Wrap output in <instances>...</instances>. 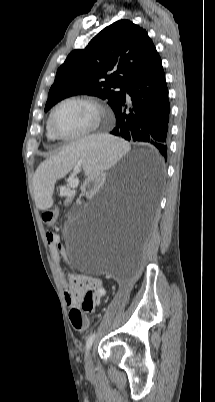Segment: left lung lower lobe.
<instances>
[{
    "mask_svg": "<svg viewBox=\"0 0 215 402\" xmlns=\"http://www.w3.org/2000/svg\"><path fill=\"white\" fill-rule=\"evenodd\" d=\"M126 92L132 106L125 103ZM120 104L114 110L116 126L111 134L133 142L153 145L167 159L169 141L170 103L161 58H157L143 73L129 83ZM158 161L157 171L147 175L151 188L162 175Z\"/></svg>",
    "mask_w": 215,
    "mask_h": 402,
    "instance_id": "0a47b994",
    "label": "left lung lower lobe"
}]
</instances>
